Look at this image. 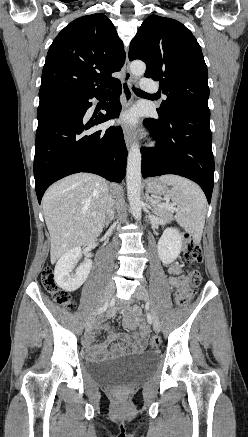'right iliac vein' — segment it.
Instances as JSON below:
<instances>
[{"label":"right iliac vein","mask_w":248,"mask_h":437,"mask_svg":"<svg viewBox=\"0 0 248 437\" xmlns=\"http://www.w3.org/2000/svg\"><path fill=\"white\" fill-rule=\"evenodd\" d=\"M114 288H115V285H114L113 281H109L106 284L103 296H102L101 301H100L101 304H103L109 300V298L111 297V294L114 291ZM94 324H95V314L93 313L86 321V324H85L86 330L90 331L92 329V327L94 326Z\"/></svg>","instance_id":"obj_1"}]
</instances>
